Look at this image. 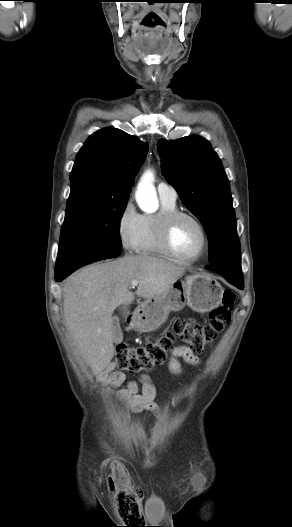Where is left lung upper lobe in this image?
Returning a JSON list of instances; mask_svg holds the SVG:
<instances>
[{"mask_svg":"<svg viewBox=\"0 0 292 527\" xmlns=\"http://www.w3.org/2000/svg\"><path fill=\"white\" fill-rule=\"evenodd\" d=\"M157 146L165 178L207 232L210 263H241L229 181L208 141L193 135Z\"/></svg>","mask_w":292,"mask_h":527,"instance_id":"left-lung-upper-lobe-1","label":"left lung upper lobe"}]
</instances>
